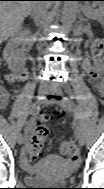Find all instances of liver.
I'll use <instances>...</instances> for the list:
<instances>
[{"label":"liver","mask_w":104,"mask_h":189,"mask_svg":"<svg viewBox=\"0 0 104 189\" xmlns=\"http://www.w3.org/2000/svg\"><path fill=\"white\" fill-rule=\"evenodd\" d=\"M37 5L38 3L35 1H1V41L18 33L25 17H27Z\"/></svg>","instance_id":"6515ba94"}]
</instances>
